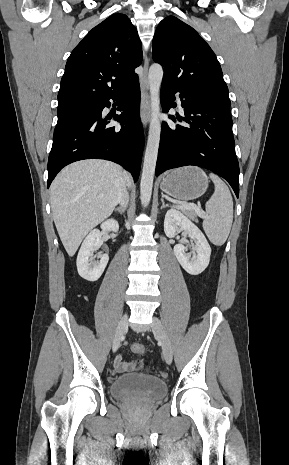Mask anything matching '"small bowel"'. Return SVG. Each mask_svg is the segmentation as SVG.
Returning a JSON list of instances; mask_svg holds the SVG:
<instances>
[{"label": "small bowel", "instance_id": "c3829d8e", "mask_svg": "<svg viewBox=\"0 0 289 465\" xmlns=\"http://www.w3.org/2000/svg\"><path fill=\"white\" fill-rule=\"evenodd\" d=\"M114 365L118 373H124L127 371H131L136 366L134 362H129V363L125 362L120 355L116 357Z\"/></svg>", "mask_w": 289, "mask_h": 465}]
</instances>
